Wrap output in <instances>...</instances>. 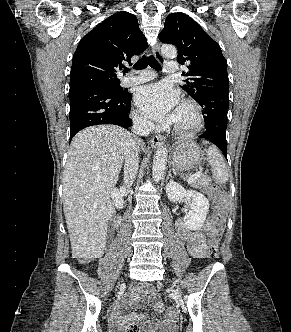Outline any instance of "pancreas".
I'll return each instance as SVG.
<instances>
[{
    "label": "pancreas",
    "instance_id": "1",
    "mask_svg": "<svg viewBox=\"0 0 291 332\" xmlns=\"http://www.w3.org/2000/svg\"><path fill=\"white\" fill-rule=\"evenodd\" d=\"M210 184L211 179L206 175H201L191 183V186L194 188L202 189L208 187Z\"/></svg>",
    "mask_w": 291,
    "mask_h": 332
}]
</instances>
